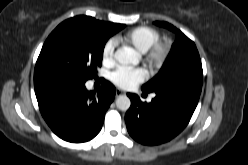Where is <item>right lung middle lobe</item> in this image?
Returning <instances> with one entry per match:
<instances>
[{
	"label": "right lung middle lobe",
	"mask_w": 248,
	"mask_h": 165,
	"mask_svg": "<svg viewBox=\"0 0 248 165\" xmlns=\"http://www.w3.org/2000/svg\"><path fill=\"white\" fill-rule=\"evenodd\" d=\"M118 31L100 32L70 19L62 22L41 49L34 83L65 80L84 84L101 66L106 41Z\"/></svg>",
	"instance_id": "1"
}]
</instances>
